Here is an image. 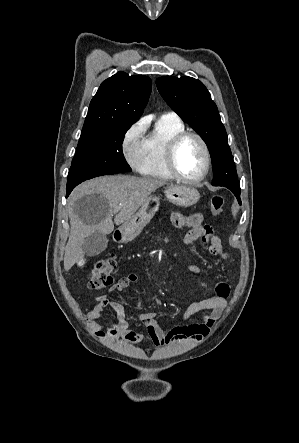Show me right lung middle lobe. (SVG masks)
Returning <instances> with one entry per match:
<instances>
[{
    "label": "right lung middle lobe",
    "instance_id": "1",
    "mask_svg": "<svg viewBox=\"0 0 299 443\" xmlns=\"http://www.w3.org/2000/svg\"><path fill=\"white\" fill-rule=\"evenodd\" d=\"M130 126L117 124L81 133L67 186L97 176L132 171L122 152V141Z\"/></svg>",
    "mask_w": 299,
    "mask_h": 443
}]
</instances>
